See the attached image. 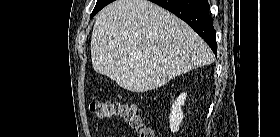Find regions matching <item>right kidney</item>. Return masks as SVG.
<instances>
[{
  "mask_svg": "<svg viewBox=\"0 0 280 137\" xmlns=\"http://www.w3.org/2000/svg\"><path fill=\"white\" fill-rule=\"evenodd\" d=\"M186 96V93H181L172 104L171 113L169 115L170 129L172 132H177L183 121L184 115L181 107L185 103Z\"/></svg>",
  "mask_w": 280,
  "mask_h": 137,
  "instance_id": "ca27d5eb",
  "label": "right kidney"
}]
</instances>
